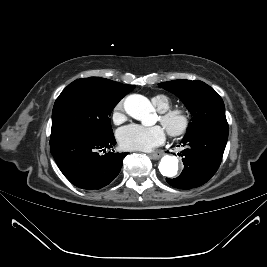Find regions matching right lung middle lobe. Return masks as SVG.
Returning <instances> with one entry per match:
<instances>
[{
	"mask_svg": "<svg viewBox=\"0 0 267 267\" xmlns=\"http://www.w3.org/2000/svg\"><path fill=\"white\" fill-rule=\"evenodd\" d=\"M135 85L106 83L97 77L78 79L56 99L52 112L51 138L66 133L113 135L110 114Z\"/></svg>",
	"mask_w": 267,
	"mask_h": 267,
	"instance_id": "1",
	"label": "right lung middle lobe"
}]
</instances>
